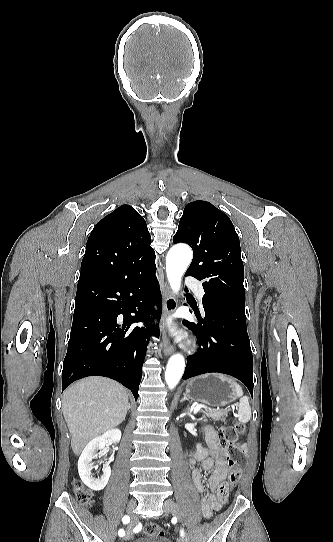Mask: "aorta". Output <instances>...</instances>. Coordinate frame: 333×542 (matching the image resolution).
Here are the masks:
<instances>
[{
	"instance_id": "obj_1",
	"label": "aorta",
	"mask_w": 333,
	"mask_h": 542,
	"mask_svg": "<svg viewBox=\"0 0 333 542\" xmlns=\"http://www.w3.org/2000/svg\"><path fill=\"white\" fill-rule=\"evenodd\" d=\"M192 260V250L186 244H177L169 250L166 258V272L168 282L174 294H178L181 278ZM185 370V360L182 354L171 356L165 372V382L169 390L176 388Z\"/></svg>"
}]
</instances>
